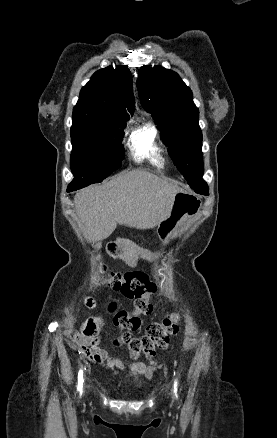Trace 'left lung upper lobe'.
I'll return each instance as SVG.
<instances>
[{"label": "left lung upper lobe", "instance_id": "obj_1", "mask_svg": "<svg viewBox=\"0 0 277 438\" xmlns=\"http://www.w3.org/2000/svg\"><path fill=\"white\" fill-rule=\"evenodd\" d=\"M137 88L143 108L155 119L175 165L196 193L208 195L202 179V132L199 110L179 75L163 67L143 66Z\"/></svg>", "mask_w": 277, "mask_h": 438}]
</instances>
